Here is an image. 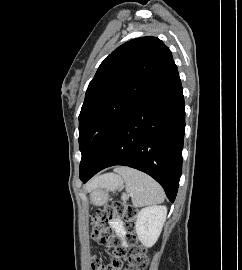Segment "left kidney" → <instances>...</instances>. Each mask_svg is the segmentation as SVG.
<instances>
[{
    "label": "left kidney",
    "instance_id": "obj_1",
    "mask_svg": "<svg viewBox=\"0 0 242 270\" xmlns=\"http://www.w3.org/2000/svg\"><path fill=\"white\" fill-rule=\"evenodd\" d=\"M165 206H149L141 209L137 215L135 229L139 241L146 247H152L158 240L166 220Z\"/></svg>",
    "mask_w": 242,
    "mask_h": 270
}]
</instances>
